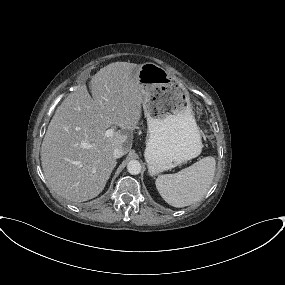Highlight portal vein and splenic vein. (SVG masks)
I'll list each match as a JSON object with an SVG mask.
<instances>
[{
    "mask_svg": "<svg viewBox=\"0 0 285 285\" xmlns=\"http://www.w3.org/2000/svg\"><path fill=\"white\" fill-rule=\"evenodd\" d=\"M115 130L113 128H110L108 130L105 131V136L106 137H111L113 134H114ZM83 147L84 148H91L92 145L91 144H87V143H84L83 144Z\"/></svg>",
    "mask_w": 285,
    "mask_h": 285,
    "instance_id": "portal-vein-and-splenic-vein-1",
    "label": "portal vein and splenic vein"
}]
</instances>
